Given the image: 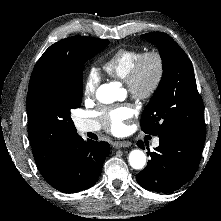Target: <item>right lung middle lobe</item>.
<instances>
[{
	"label": "right lung middle lobe",
	"mask_w": 221,
	"mask_h": 221,
	"mask_svg": "<svg viewBox=\"0 0 221 221\" xmlns=\"http://www.w3.org/2000/svg\"><path fill=\"white\" fill-rule=\"evenodd\" d=\"M108 44L106 39L82 37L71 61H64L42 75L30 105L36 121L53 127H74L70 111L82 101L84 64Z\"/></svg>",
	"instance_id": "1"
}]
</instances>
